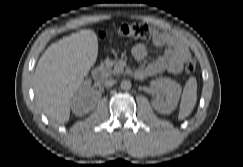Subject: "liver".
Wrapping results in <instances>:
<instances>
[{"label": "liver", "instance_id": "liver-1", "mask_svg": "<svg viewBox=\"0 0 243 167\" xmlns=\"http://www.w3.org/2000/svg\"><path fill=\"white\" fill-rule=\"evenodd\" d=\"M98 40L92 30H81L53 43L35 70L39 107L58 124L69 121L71 99L96 62Z\"/></svg>", "mask_w": 243, "mask_h": 167}]
</instances>
